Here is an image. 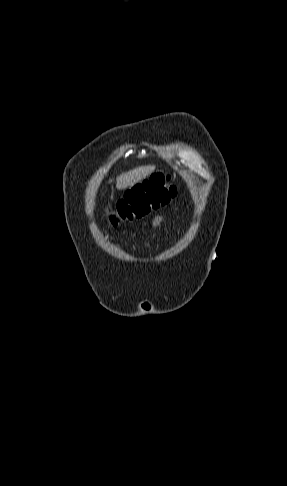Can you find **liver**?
<instances>
[{"instance_id":"6515ba94","label":"liver","mask_w":287,"mask_h":486,"mask_svg":"<svg viewBox=\"0 0 287 486\" xmlns=\"http://www.w3.org/2000/svg\"><path fill=\"white\" fill-rule=\"evenodd\" d=\"M155 170L154 165H147L135 168L126 173L121 174L116 178V188L118 190L126 189L131 187L146 178Z\"/></svg>"}]
</instances>
